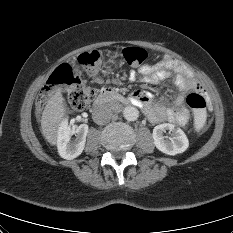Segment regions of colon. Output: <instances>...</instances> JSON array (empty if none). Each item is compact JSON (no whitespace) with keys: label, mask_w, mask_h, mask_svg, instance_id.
<instances>
[{"label":"colon","mask_w":233,"mask_h":233,"mask_svg":"<svg viewBox=\"0 0 233 233\" xmlns=\"http://www.w3.org/2000/svg\"><path fill=\"white\" fill-rule=\"evenodd\" d=\"M122 57L131 66L141 65L147 58V53L140 47H128L122 51ZM101 54L96 51L82 53L79 62L90 73L95 74L101 66ZM57 90L65 92L71 106L75 109H84L93 101L96 91L80 77L74 74L68 64L60 65L49 77L37 98V108L43 109L49 97ZM186 104L194 111V128L202 131L207 123L206 100L200 93L194 92L187 95Z\"/></svg>","instance_id":"obj_1"}]
</instances>
